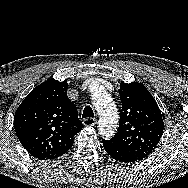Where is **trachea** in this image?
I'll list each match as a JSON object with an SVG mask.
<instances>
[{"mask_svg": "<svg viewBox=\"0 0 188 188\" xmlns=\"http://www.w3.org/2000/svg\"><path fill=\"white\" fill-rule=\"evenodd\" d=\"M94 117L93 109L90 106H86L82 113V118Z\"/></svg>", "mask_w": 188, "mask_h": 188, "instance_id": "trachea-1", "label": "trachea"}]
</instances>
